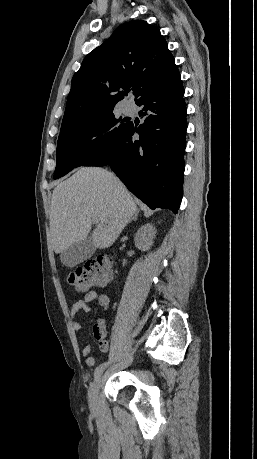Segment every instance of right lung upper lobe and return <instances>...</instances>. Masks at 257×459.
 I'll use <instances>...</instances> for the list:
<instances>
[{
	"label": "right lung upper lobe",
	"mask_w": 257,
	"mask_h": 459,
	"mask_svg": "<svg viewBox=\"0 0 257 459\" xmlns=\"http://www.w3.org/2000/svg\"><path fill=\"white\" fill-rule=\"evenodd\" d=\"M178 73L156 26L142 20L125 23L86 56L73 76L60 132L113 109L130 87L138 102Z\"/></svg>",
	"instance_id": "cb5924a9"
}]
</instances>
